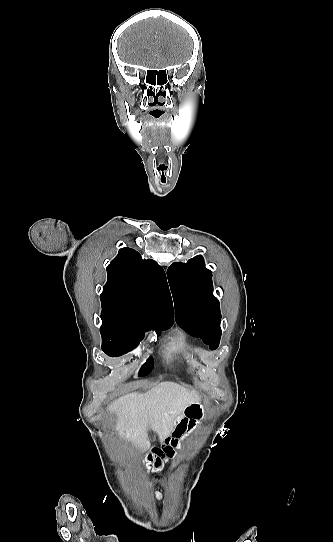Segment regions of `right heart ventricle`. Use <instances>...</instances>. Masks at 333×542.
<instances>
[{
    "label": "right heart ventricle",
    "mask_w": 333,
    "mask_h": 542,
    "mask_svg": "<svg viewBox=\"0 0 333 542\" xmlns=\"http://www.w3.org/2000/svg\"><path fill=\"white\" fill-rule=\"evenodd\" d=\"M186 346L185 339L182 335H176L172 337L168 343V349L172 353H178L180 350L184 349Z\"/></svg>",
    "instance_id": "e07e8e85"
}]
</instances>
